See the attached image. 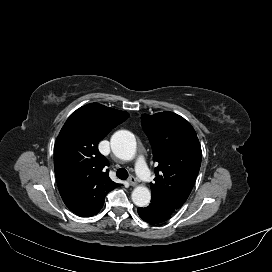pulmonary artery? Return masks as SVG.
<instances>
[{
    "mask_svg": "<svg viewBox=\"0 0 272 272\" xmlns=\"http://www.w3.org/2000/svg\"><path fill=\"white\" fill-rule=\"evenodd\" d=\"M136 169H137V173H138L139 177L143 181H149L150 180V174H149V171L147 169L145 159L142 156L137 158Z\"/></svg>",
    "mask_w": 272,
    "mask_h": 272,
    "instance_id": "1",
    "label": "pulmonary artery"
}]
</instances>
